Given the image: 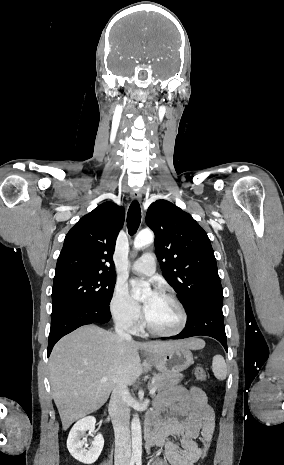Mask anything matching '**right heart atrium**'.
I'll list each match as a JSON object with an SVG mask.
<instances>
[{
    "instance_id": "d8ad5b80",
    "label": "right heart atrium",
    "mask_w": 284,
    "mask_h": 465,
    "mask_svg": "<svg viewBox=\"0 0 284 465\" xmlns=\"http://www.w3.org/2000/svg\"><path fill=\"white\" fill-rule=\"evenodd\" d=\"M108 310L113 321L125 330H131L139 323L140 314L129 302L122 286L115 287L109 299Z\"/></svg>"
}]
</instances>
